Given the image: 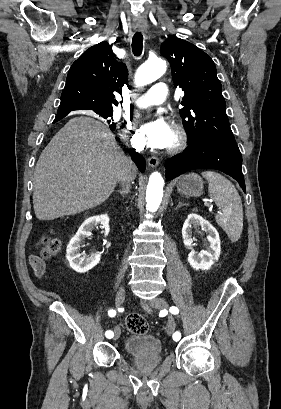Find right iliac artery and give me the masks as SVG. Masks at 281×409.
<instances>
[{
  "instance_id": "1",
  "label": "right iliac artery",
  "mask_w": 281,
  "mask_h": 409,
  "mask_svg": "<svg viewBox=\"0 0 281 409\" xmlns=\"http://www.w3.org/2000/svg\"><path fill=\"white\" fill-rule=\"evenodd\" d=\"M108 315L110 317H114L116 315V311L115 310H110L108 312ZM105 335H106L107 338H112L114 334H113V332L111 330H108V331H106Z\"/></svg>"
}]
</instances>
